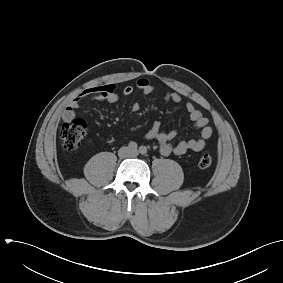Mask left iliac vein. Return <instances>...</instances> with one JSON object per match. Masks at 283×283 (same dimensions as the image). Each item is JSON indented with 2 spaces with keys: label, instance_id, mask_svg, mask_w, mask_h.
Listing matches in <instances>:
<instances>
[{
  "label": "left iliac vein",
  "instance_id": "left-iliac-vein-1",
  "mask_svg": "<svg viewBox=\"0 0 283 283\" xmlns=\"http://www.w3.org/2000/svg\"><path fill=\"white\" fill-rule=\"evenodd\" d=\"M131 155L137 156V155H138V151H137V150H132V151H131Z\"/></svg>",
  "mask_w": 283,
  "mask_h": 283
}]
</instances>
